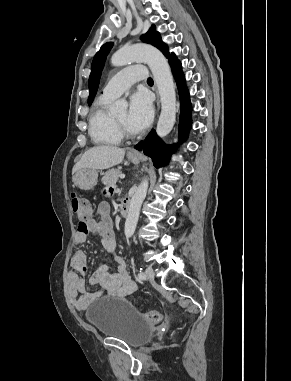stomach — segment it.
<instances>
[{
	"label": "stomach",
	"mask_w": 291,
	"mask_h": 381,
	"mask_svg": "<svg viewBox=\"0 0 291 381\" xmlns=\"http://www.w3.org/2000/svg\"><path fill=\"white\" fill-rule=\"evenodd\" d=\"M128 159L134 163L138 164L141 157L139 155H134L128 153ZM98 173L96 170L82 169L76 172L73 176L74 185L82 190H91L97 185Z\"/></svg>",
	"instance_id": "1"
}]
</instances>
